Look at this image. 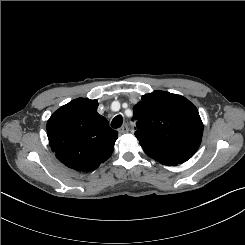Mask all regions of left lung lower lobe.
<instances>
[{
  "label": "left lung lower lobe",
  "mask_w": 245,
  "mask_h": 245,
  "mask_svg": "<svg viewBox=\"0 0 245 245\" xmlns=\"http://www.w3.org/2000/svg\"><path fill=\"white\" fill-rule=\"evenodd\" d=\"M144 150V152L152 157L153 159L159 161L160 163L167 165V166H175L177 164L184 163L185 161L188 160V158L174 155V154H169L164 151L158 150L156 148L140 144Z\"/></svg>",
  "instance_id": "1"
}]
</instances>
